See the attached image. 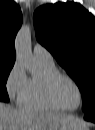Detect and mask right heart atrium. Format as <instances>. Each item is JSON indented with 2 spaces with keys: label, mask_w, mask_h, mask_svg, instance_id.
Wrapping results in <instances>:
<instances>
[{
  "label": "right heart atrium",
  "mask_w": 95,
  "mask_h": 130,
  "mask_svg": "<svg viewBox=\"0 0 95 130\" xmlns=\"http://www.w3.org/2000/svg\"><path fill=\"white\" fill-rule=\"evenodd\" d=\"M28 77L22 65L16 61L8 72L5 88L9 98L16 103H21L27 88Z\"/></svg>",
  "instance_id": "obj_1"
}]
</instances>
